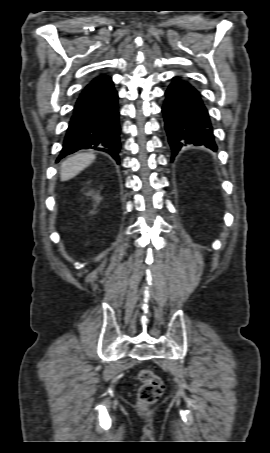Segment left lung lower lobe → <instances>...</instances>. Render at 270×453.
<instances>
[{
    "instance_id": "left-lung-lower-lobe-1",
    "label": "left lung lower lobe",
    "mask_w": 270,
    "mask_h": 453,
    "mask_svg": "<svg viewBox=\"0 0 270 453\" xmlns=\"http://www.w3.org/2000/svg\"><path fill=\"white\" fill-rule=\"evenodd\" d=\"M162 111L172 150V161L183 146L217 150L213 127L200 92L188 81L174 78L166 91Z\"/></svg>"
}]
</instances>
